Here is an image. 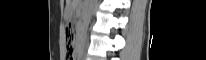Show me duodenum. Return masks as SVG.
Segmentation results:
<instances>
[{
    "label": "duodenum",
    "mask_w": 206,
    "mask_h": 60,
    "mask_svg": "<svg viewBox=\"0 0 206 60\" xmlns=\"http://www.w3.org/2000/svg\"><path fill=\"white\" fill-rule=\"evenodd\" d=\"M79 33H80V34H83V33H84V30H83V29H80V30H79Z\"/></svg>",
    "instance_id": "obj_1"
}]
</instances>
